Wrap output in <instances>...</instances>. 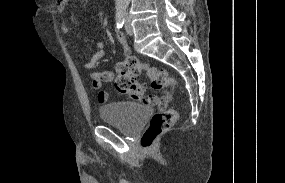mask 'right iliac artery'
<instances>
[{"mask_svg":"<svg viewBox=\"0 0 285 183\" xmlns=\"http://www.w3.org/2000/svg\"><path fill=\"white\" fill-rule=\"evenodd\" d=\"M124 17H125V10L124 9H117V12H116V26H117V28H122L124 21H125Z\"/></svg>","mask_w":285,"mask_h":183,"instance_id":"right-iliac-artery-1","label":"right iliac artery"}]
</instances>
